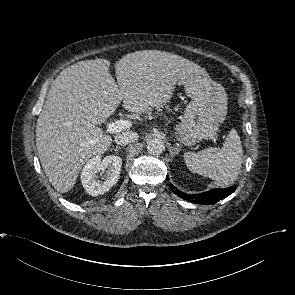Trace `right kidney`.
<instances>
[{"instance_id": "right-kidney-1", "label": "right kidney", "mask_w": 295, "mask_h": 295, "mask_svg": "<svg viewBox=\"0 0 295 295\" xmlns=\"http://www.w3.org/2000/svg\"><path fill=\"white\" fill-rule=\"evenodd\" d=\"M122 159L119 156L109 155L102 159L100 155L87 161L81 172V181L84 189L91 196H98L113 187L120 175ZM102 179L99 180L97 174Z\"/></svg>"}]
</instances>
